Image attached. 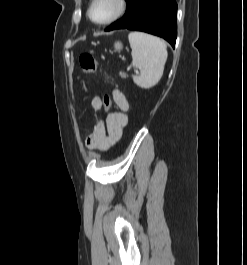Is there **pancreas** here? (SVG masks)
<instances>
[{
  "instance_id": "1",
  "label": "pancreas",
  "mask_w": 247,
  "mask_h": 265,
  "mask_svg": "<svg viewBox=\"0 0 247 265\" xmlns=\"http://www.w3.org/2000/svg\"><path fill=\"white\" fill-rule=\"evenodd\" d=\"M119 75H120L122 78H126V77H127L126 73H124V72H120Z\"/></svg>"
}]
</instances>
